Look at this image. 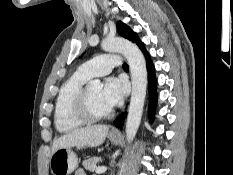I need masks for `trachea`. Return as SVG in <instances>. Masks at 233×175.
Wrapping results in <instances>:
<instances>
[{
	"instance_id": "3493384b",
	"label": "trachea",
	"mask_w": 233,
	"mask_h": 175,
	"mask_svg": "<svg viewBox=\"0 0 233 175\" xmlns=\"http://www.w3.org/2000/svg\"><path fill=\"white\" fill-rule=\"evenodd\" d=\"M123 69H129V67H128V64H127V63H124V64H123Z\"/></svg>"
}]
</instances>
